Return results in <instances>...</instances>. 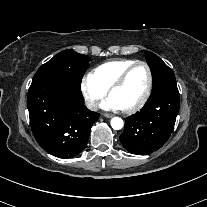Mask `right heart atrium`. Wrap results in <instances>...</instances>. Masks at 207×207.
Segmentation results:
<instances>
[{
  "label": "right heart atrium",
  "instance_id": "1",
  "mask_svg": "<svg viewBox=\"0 0 207 207\" xmlns=\"http://www.w3.org/2000/svg\"><path fill=\"white\" fill-rule=\"evenodd\" d=\"M80 89L90 109H96L107 94V90L96 83L90 75L81 80Z\"/></svg>",
  "mask_w": 207,
  "mask_h": 207
}]
</instances>
